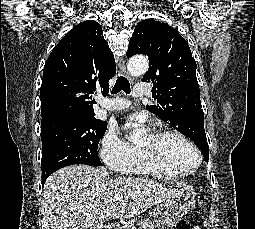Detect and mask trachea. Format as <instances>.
<instances>
[{"mask_svg":"<svg viewBox=\"0 0 255 229\" xmlns=\"http://www.w3.org/2000/svg\"><path fill=\"white\" fill-rule=\"evenodd\" d=\"M121 90H123L126 94H130V84L128 79L124 76L118 77L111 93L116 94Z\"/></svg>","mask_w":255,"mask_h":229,"instance_id":"3493384b","label":"trachea"}]
</instances>
